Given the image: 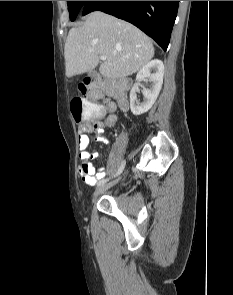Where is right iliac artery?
Returning a JSON list of instances; mask_svg holds the SVG:
<instances>
[{"instance_id": "82829eb1", "label": "right iliac artery", "mask_w": 233, "mask_h": 295, "mask_svg": "<svg viewBox=\"0 0 233 295\" xmlns=\"http://www.w3.org/2000/svg\"><path fill=\"white\" fill-rule=\"evenodd\" d=\"M124 166H125V161H123V162L121 163L120 168L118 169L117 173H116L114 176L119 175V174L123 171ZM99 179H100V177H99ZM107 180H108V179H107Z\"/></svg>"}]
</instances>
